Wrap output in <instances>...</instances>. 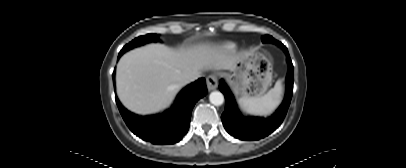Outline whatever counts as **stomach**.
Segmentation results:
<instances>
[{
	"label": "stomach",
	"instance_id": "obj_1",
	"mask_svg": "<svg viewBox=\"0 0 406 168\" xmlns=\"http://www.w3.org/2000/svg\"><path fill=\"white\" fill-rule=\"evenodd\" d=\"M227 81L239 100L245 97H261L272 82V62L262 52L251 49L242 52Z\"/></svg>",
	"mask_w": 406,
	"mask_h": 168
}]
</instances>
